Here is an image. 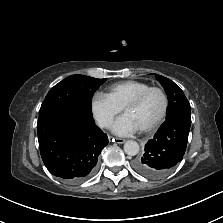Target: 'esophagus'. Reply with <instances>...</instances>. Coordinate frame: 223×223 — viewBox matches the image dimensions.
Here are the masks:
<instances>
[{
	"label": "esophagus",
	"mask_w": 223,
	"mask_h": 223,
	"mask_svg": "<svg viewBox=\"0 0 223 223\" xmlns=\"http://www.w3.org/2000/svg\"><path fill=\"white\" fill-rule=\"evenodd\" d=\"M112 137H110V139H111ZM112 140V142H116V143H118V144H123V143H125V139H123V138H112L111 139Z\"/></svg>",
	"instance_id": "esophagus-1"
}]
</instances>
